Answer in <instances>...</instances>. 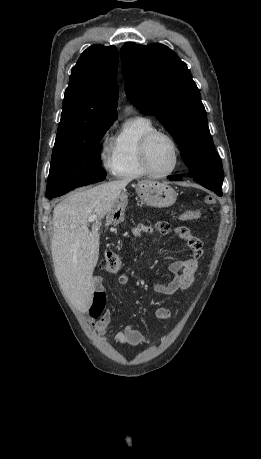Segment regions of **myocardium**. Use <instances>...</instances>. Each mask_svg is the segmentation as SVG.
Wrapping results in <instances>:
<instances>
[{
    "label": "myocardium",
    "instance_id": "1",
    "mask_svg": "<svg viewBox=\"0 0 261 459\" xmlns=\"http://www.w3.org/2000/svg\"><path fill=\"white\" fill-rule=\"evenodd\" d=\"M165 137L166 139H168L170 141V143L172 144V147H173V150H174V165L173 167L168 171V172H165V173H157L155 172L151 165H150V161H149V152H150V146L153 142V140L157 137ZM140 160H141V164L144 168V170L146 171V173L152 177H155V178H166V177H169L171 176L178 168L179 166V163H180V149H179V145L176 141V139L168 132L166 131H162V130H153L149 133H147L143 139L141 140V144H140Z\"/></svg>",
    "mask_w": 261,
    "mask_h": 459
}]
</instances>
